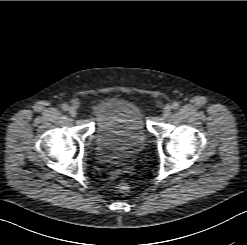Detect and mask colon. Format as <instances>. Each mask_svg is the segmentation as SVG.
<instances>
[{"instance_id": "1", "label": "colon", "mask_w": 247, "mask_h": 245, "mask_svg": "<svg viewBox=\"0 0 247 245\" xmlns=\"http://www.w3.org/2000/svg\"><path fill=\"white\" fill-rule=\"evenodd\" d=\"M118 190L123 194H127L130 192V185L122 181L118 184Z\"/></svg>"}]
</instances>
